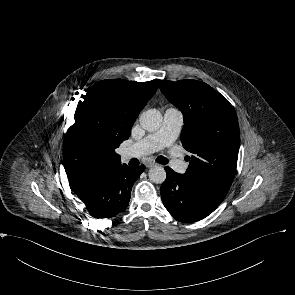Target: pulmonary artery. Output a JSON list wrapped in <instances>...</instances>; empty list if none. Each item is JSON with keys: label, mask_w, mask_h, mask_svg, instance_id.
I'll return each mask as SVG.
<instances>
[{"label": "pulmonary artery", "mask_w": 295, "mask_h": 295, "mask_svg": "<svg viewBox=\"0 0 295 295\" xmlns=\"http://www.w3.org/2000/svg\"><path fill=\"white\" fill-rule=\"evenodd\" d=\"M182 125V112L175 107L168 108L164 113L160 128L124 149L123 158L149 155L171 145L178 137ZM171 166L178 173L186 172L188 167L184 161L176 157L172 159Z\"/></svg>", "instance_id": "obj_1"}]
</instances>
